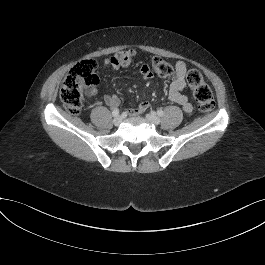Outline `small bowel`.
<instances>
[{"label":"small bowel","instance_id":"obj_1","mask_svg":"<svg viewBox=\"0 0 265 265\" xmlns=\"http://www.w3.org/2000/svg\"><path fill=\"white\" fill-rule=\"evenodd\" d=\"M104 66L111 69H118L119 66L113 63L112 58L104 60ZM187 72V65L184 61H177L174 65V76L170 82L168 97L169 99L180 105L186 113H190L193 110L192 104L188 98L183 94L187 89V82L185 75ZM139 73L141 77L148 80L153 77V73L148 64H143L140 67ZM98 94V90L95 87H91L86 91V95L94 97ZM104 104L110 108H114L119 105L120 97L116 94H106L103 98ZM149 107L148 102H141L137 107L127 110V113L132 116H138L146 111Z\"/></svg>","mask_w":265,"mask_h":265}]
</instances>
